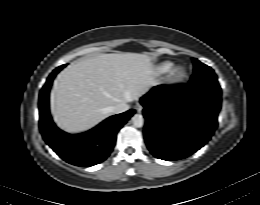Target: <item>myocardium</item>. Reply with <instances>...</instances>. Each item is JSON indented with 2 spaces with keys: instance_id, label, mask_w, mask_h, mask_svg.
<instances>
[{
  "instance_id": "obj_1",
  "label": "myocardium",
  "mask_w": 260,
  "mask_h": 205,
  "mask_svg": "<svg viewBox=\"0 0 260 205\" xmlns=\"http://www.w3.org/2000/svg\"><path fill=\"white\" fill-rule=\"evenodd\" d=\"M186 76V71L181 67H177L171 71L169 75V81L172 84H177L185 80Z\"/></svg>"
}]
</instances>
